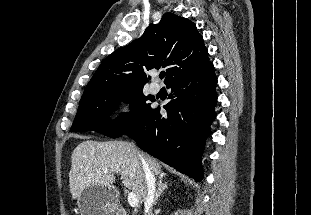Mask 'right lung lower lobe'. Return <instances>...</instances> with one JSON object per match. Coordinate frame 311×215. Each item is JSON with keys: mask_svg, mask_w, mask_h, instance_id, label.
<instances>
[{"mask_svg": "<svg viewBox=\"0 0 311 215\" xmlns=\"http://www.w3.org/2000/svg\"><path fill=\"white\" fill-rule=\"evenodd\" d=\"M216 84L210 61L173 79L167 84L172 89L171 101L164 106L167 115L152 109L125 135L142 150L200 181L203 144L215 118Z\"/></svg>", "mask_w": 311, "mask_h": 215, "instance_id": "right-lung-lower-lobe-1", "label": "right lung lower lobe"}]
</instances>
